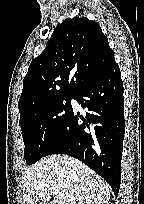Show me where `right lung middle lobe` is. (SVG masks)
Masks as SVG:
<instances>
[{
	"label": "right lung middle lobe",
	"mask_w": 144,
	"mask_h": 204,
	"mask_svg": "<svg viewBox=\"0 0 144 204\" xmlns=\"http://www.w3.org/2000/svg\"><path fill=\"white\" fill-rule=\"evenodd\" d=\"M73 98L74 95L55 97L20 116L27 164H34L44 157L52 140L73 111Z\"/></svg>",
	"instance_id": "obj_1"
}]
</instances>
